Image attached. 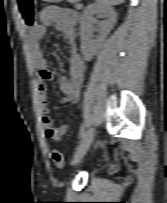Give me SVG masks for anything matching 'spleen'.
Returning a JSON list of instances; mask_svg holds the SVG:
<instances>
[{"label":"spleen","instance_id":"obj_1","mask_svg":"<svg viewBox=\"0 0 167 203\" xmlns=\"http://www.w3.org/2000/svg\"><path fill=\"white\" fill-rule=\"evenodd\" d=\"M96 1L103 6H114L124 2V0H96Z\"/></svg>","mask_w":167,"mask_h":203}]
</instances>
